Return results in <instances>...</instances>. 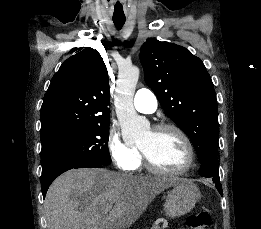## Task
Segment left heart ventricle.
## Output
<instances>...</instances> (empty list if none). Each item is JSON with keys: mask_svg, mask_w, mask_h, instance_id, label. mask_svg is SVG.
<instances>
[{"mask_svg": "<svg viewBox=\"0 0 261 229\" xmlns=\"http://www.w3.org/2000/svg\"><path fill=\"white\" fill-rule=\"evenodd\" d=\"M139 146L157 166L165 170H179L187 161L186 148L181 138L171 130L159 133L149 130L141 138Z\"/></svg>", "mask_w": 261, "mask_h": 229, "instance_id": "left-heart-ventricle-1", "label": "left heart ventricle"}]
</instances>
